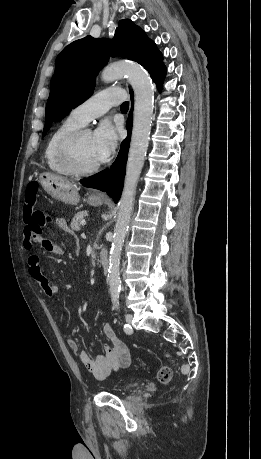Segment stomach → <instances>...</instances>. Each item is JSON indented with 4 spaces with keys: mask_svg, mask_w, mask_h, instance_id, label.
Returning a JSON list of instances; mask_svg holds the SVG:
<instances>
[{
    "mask_svg": "<svg viewBox=\"0 0 261 459\" xmlns=\"http://www.w3.org/2000/svg\"><path fill=\"white\" fill-rule=\"evenodd\" d=\"M39 182L44 190L53 198L65 204L76 205L79 203L80 197L77 186L65 178L53 173L44 172L39 175ZM103 202L104 199L102 197L96 195L88 197V203L91 205H101Z\"/></svg>",
    "mask_w": 261,
    "mask_h": 459,
    "instance_id": "stomach-1",
    "label": "stomach"
}]
</instances>
